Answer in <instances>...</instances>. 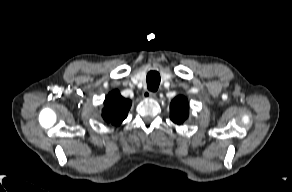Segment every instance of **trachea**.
<instances>
[{
    "label": "trachea",
    "mask_w": 292,
    "mask_h": 192,
    "mask_svg": "<svg viewBox=\"0 0 292 192\" xmlns=\"http://www.w3.org/2000/svg\"><path fill=\"white\" fill-rule=\"evenodd\" d=\"M148 90L155 92L160 84V74L156 71H150L146 77Z\"/></svg>",
    "instance_id": "1"
}]
</instances>
